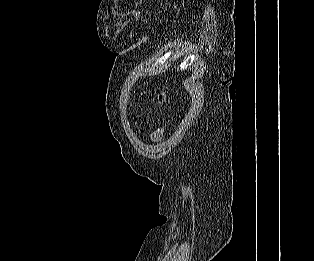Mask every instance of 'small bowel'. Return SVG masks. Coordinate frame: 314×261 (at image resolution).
<instances>
[{
	"instance_id": "c3829d8e",
	"label": "small bowel",
	"mask_w": 314,
	"mask_h": 261,
	"mask_svg": "<svg viewBox=\"0 0 314 261\" xmlns=\"http://www.w3.org/2000/svg\"><path fill=\"white\" fill-rule=\"evenodd\" d=\"M160 135H161V132H155L153 135H152V138L154 139V140H158L159 138H160Z\"/></svg>"
}]
</instances>
